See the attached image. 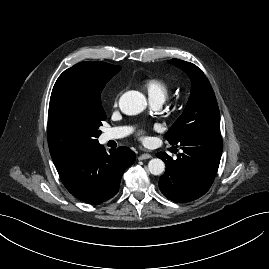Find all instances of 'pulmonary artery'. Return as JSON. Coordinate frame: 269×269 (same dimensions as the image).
Listing matches in <instances>:
<instances>
[{"instance_id": "obj_1", "label": "pulmonary artery", "mask_w": 269, "mask_h": 269, "mask_svg": "<svg viewBox=\"0 0 269 269\" xmlns=\"http://www.w3.org/2000/svg\"><path fill=\"white\" fill-rule=\"evenodd\" d=\"M162 100H154L152 101V105L154 108H159L162 105ZM129 133V129L127 127H115L106 130L103 133L102 139L104 142L110 140H116L125 137Z\"/></svg>"}]
</instances>
